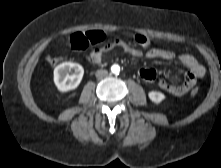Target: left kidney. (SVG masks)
Segmentation results:
<instances>
[{
	"label": "left kidney",
	"mask_w": 221,
	"mask_h": 168,
	"mask_svg": "<svg viewBox=\"0 0 221 168\" xmlns=\"http://www.w3.org/2000/svg\"><path fill=\"white\" fill-rule=\"evenodd\" d=\"M148 96L150 100L155 104L161 103L166 98V96L159 91H151L148 93Z\"/></svg>",
	"instance_id": "obj_1"
}]
</instances>
